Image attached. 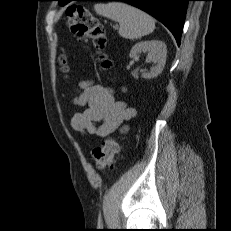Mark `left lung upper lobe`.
Listing matches in <instances>:
<instances>
[{
	"label": "left lung upper lobe",
	"mask_w": 231,
	"mask_h": 231,
	"mask_svg": "<svg viewBox=\"0 0 231 231\" xmlns=\"http://www.w3.org/2000/svg\"><path fill=\"white\" fill-rule=\"evenodd\" d=\"M56 1H59V4L61 5L64 0H56Z\"/></svg>",
	"instance_id": "1"
}]
</instances>
